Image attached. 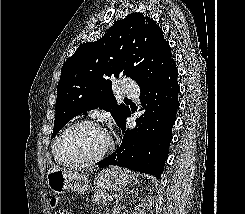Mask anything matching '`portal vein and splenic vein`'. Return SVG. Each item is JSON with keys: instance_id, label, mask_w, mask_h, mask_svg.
Segmentation results:
<instances>
[{"instance_id": "portal-vein-and-splenic-vein-1", "label": "portal vein and splenic vein", "mask_w": 245, "mask_h": 214, "mask_svg": "<svg viewBox=\"0 0 245 214\" xmlns=\"http://www.w3.org/2000/svg\"><path fill=\"white\" fill-rule=\"evenodd\" d=\"M109 201H113V198L111 196L107 197Z\"/></svg>"}]
</instances>
